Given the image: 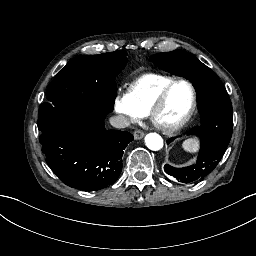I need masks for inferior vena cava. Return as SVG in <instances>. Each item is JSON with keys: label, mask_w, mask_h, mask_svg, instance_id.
<instances>
[{"label": "inferior vena cava", "mask_w": 256, "mask_h": 256, "mask_svg": "<svg viewBox=\"0 0 256 256\" xmlns=\"http://www.w3.org/2000/svg\"><path fill=\"white\" fill-rule=\"evenodd\" d=\"M111 124L116 128H128L131 126L129 119L124 115H118L111 119Z\"/></svg>", "instance_id": "1"}]
</instances>
